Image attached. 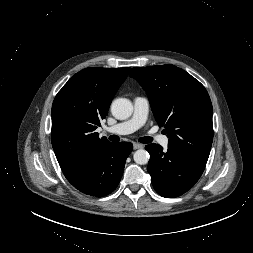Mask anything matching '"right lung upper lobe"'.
I'll return each mask as SVG.
<instances>
[{
  "label": "right lung upper lobe",
  "mask_w": 253,
  "mask_h": 253,
  "mask_svg": "<svg viewBox=\"0 0 253 253\" xmlns=\"http://www.w3.org/2000/svg\"><path fill=\"white\" fill-rule=\"evenodd\" d=\"M129 67H90L72 76L52 105L51 142L67 180L75 178L94 153L109 142L95 131L106 117Z\"/></svg>",
  "instance_id": "obj_1"
}]
</instances>
